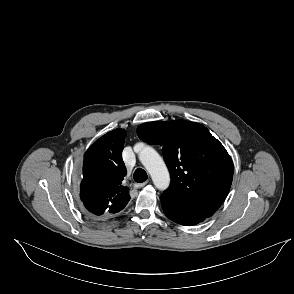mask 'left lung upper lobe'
<instances>
[{
  "label": "left lung upper lobe",
  "mask_w": 294,
  "mask_h": 294,
  "mask_svg": "<svg viewBox=\"0 0 294 294\" xmlns=\"http://www.w3.org/2000/svg\"><path fill=\"white\" fill-rule=\"evenodd\" d=\"M137 135L163 147L171 184L161 198L202 218L212 216L233 179V162L221 142L203 125L185 120L145 123Z\"/></svg>",
  "instance_id": "1"
}]
</instances>
